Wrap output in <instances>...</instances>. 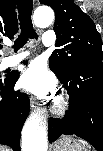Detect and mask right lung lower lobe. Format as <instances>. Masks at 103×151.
I'll return each mask as SVG.
<instances>
[{
  "label": "right lung lower lobe",
  "mask_w": 103,
  "mask_h": 151,
  "mask_svg": "<svg viewBox=\"0 0 103 151\" xmlns=\"http://www.w3.org/2000/svg\"><path fill=\"white\" fill-rule=\"evenodd\" d=\"M19 73L0 79V144L20 151V135L29 114V97L21 91H14Z\"/></svg>",
  "instance_id": "right-lung-lower-lobe-1"
}]
</instances>
